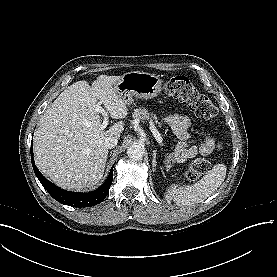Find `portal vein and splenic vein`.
<instances>
[{"mask_svg": "<svg viewBox=\"0 0 277 277\" xmlns=\"http://www.w3.org/2000/svg\"><path fill=\"white\" fill-rule=\"evenodd\" d=\"M96 111L99 112V113H102L103 117H104V121L103 123L100 125V129L101 130H104L107 125H108V115H107V112L100 106V105H97L96 106ZM150 130L151 132L153 133V136L155 137L156 141L159 143V144H163V139L160 135V133L158 132V130L155 128L154 124L152 122H150Z\"/></svg>", "mask_w": 277, "mask_h": 277, "instance_id": "18ae733b", "label": "portal vein and splenic vein"}]
</instances>
